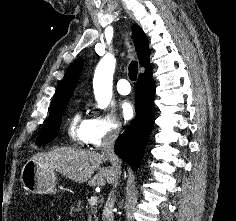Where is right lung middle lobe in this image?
<instances>
[{
    "instance_id": "1",
    "label": "right lung middle lobe",
    "mask_w": 236,
    "mask_h": 221,
    "mask_svg": "<svg viewBox=\"0 0 236 221\" xmlns=\"http://www.w3.org/2000/svg\"><path fill=\"white\" fill-rule=\"evenodd\" d=\"M68 102L62 103L54 108H51L49 118L42 130L41 134L37 138V145L41 146L52 141L58 134L62 115L66 110Z\"/></svg>"
}]
</instances>
